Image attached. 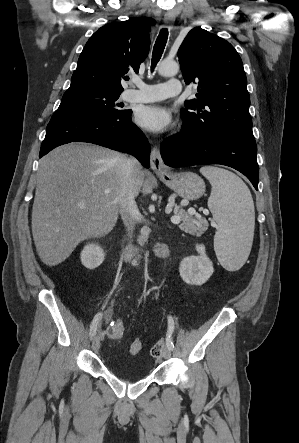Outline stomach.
<instances>
[{"label":"stomach","mask_w":299,"mask_h":443,"mask_svg":"<svg viewBox=\"0 0 299 443\" xmlns=\"http://www.w3.org/2000/svg\"><path fill=\"white\" fill-rule=\"evenodd\" d=\"M157 175L166 186L184 199L197 200L205 193L203 179L193 172H166Z\"/></svg>","instance_id":"obj_1"}]
</instances>
